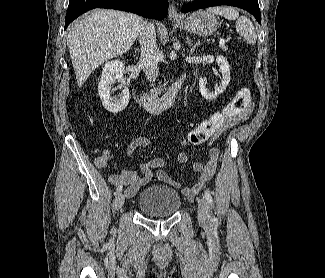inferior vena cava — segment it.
<instances>
[{
  "label": "inferior vena cava",
  "instance_id": "inferior-vena-cava-1",
  "mask_svg": "<svg viewBox=\"0 0 325 278\" xmlns=\"http://www.w3.org/2000/svg\"><path fill=\"white\" fill-rule=\"evenodd\" d=\"M141 55L139 63L150 82L158 77L159 50L156 45V32L152 23L144 22L139 32Z\"/></svg>",
  "mask_w": 325,
  "mask_h": 278
}]
</instances>
